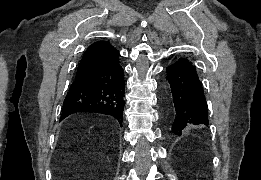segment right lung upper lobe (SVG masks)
<instances>
[{
    "label": "right lung upper lobe",
    "mask_w": 261,
    "mask_h": 180,
    "mask_svg": "<svg viewBox=\"0 0 261 180\" xmlns=\"http://www.w3.org/2000/svg\"><path fill=\"white\" fill-rule=\"evenodd\" d=\"M119 52L107 41H98L91 44L85 51L76 76L86 72L87 70L100 65L114 64L118 62Z\"/></svg>",
    "instance_id": "cb5924a9"
}]
</instances>
